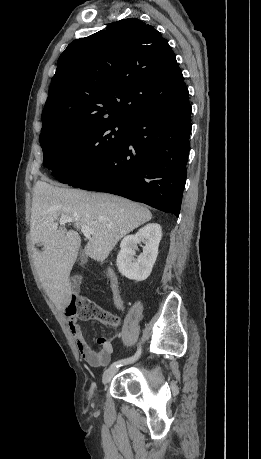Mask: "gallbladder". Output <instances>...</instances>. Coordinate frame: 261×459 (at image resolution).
Returning <instances> with one entry per match:
<instances>
[{"mask_svg": "<svg viewBox=\"0 0 261 459\" xmlns=\"http://www.w3.org/2000/svg\"><path fill=\"white\" fill-rule=\"evenodd\" d=\"M86 259H87L86 253H85L84 250H82L80 252V265L81 266L85 263ZM81 281H82V276H80V275H75L74 276V278H73V282H74L73 283V288L77 293H79V286L81 284Z\"/></svg>", "mask_w": 261, "mask_h": 459, "instance_id": "obj_1", "label": "gallbladder"}]
</instances>
